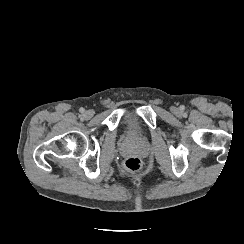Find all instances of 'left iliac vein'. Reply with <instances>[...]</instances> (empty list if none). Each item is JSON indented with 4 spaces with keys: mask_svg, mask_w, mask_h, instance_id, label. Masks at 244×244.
I'll use <instances>...</instances> for the list:
<instances>
[{
    "mask_svg": "<svg viewBox=\"0 0 244 244\" xmlns=\"http://www.w3.org/2000/svg\"><path fill=\"white\" fill-rule=\"evenodd\" d=\"M173 113L175 115H181V110L179 108H177V107H173Z\"/></svg>",
    "mask_w": 244,
    "mask_h": 244,
    "instance_id": "left-iliac-vein-1",
    "label": "left iliac vein"
}]
</instances>
